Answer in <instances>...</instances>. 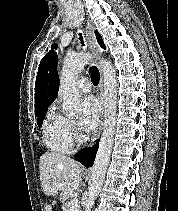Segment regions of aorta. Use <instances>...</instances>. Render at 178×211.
I'll return each mask as SVG.
<instances>
[{"instance_id":"aorta-1","label":"aorta","mask_w":178,"mask_h":211,"mask_svg":"<svg viewBox=\"0 0 178 211\" xmlns=\"http://www.w3.org/2000/svg\"><path fill=\"white\" fill-rule=\"evenodd\" d=\"M92 56L80 53L67 57L63 63L61 73V87L63 91V108L66 112L75 115L81 110L80 94L76 88L78 72L87 65ZM104 79V123L99 148L91 168L88 198L84 210L90 211L103 184L105 173L110 162L114 142L117 116V79L116 71L110 61L101 59L99 62Z\"/></svg>"}]
</instances>
